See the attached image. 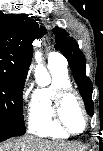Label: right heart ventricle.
<instances>
[{
	"label": "right heart ventricle",
	"mask_w": 103,
	"mask_h": 151,
	"mask_svg": "<svg viewBox=\"0 0 103 151\" xmlns=\"http://www.w3.org/2000/svg\"><path fill=\"white\" fill-rule=\"evenodd\" d=\"M52 81L48 86H40L32 91L27 124L29 133L52 139H66L69 134L60 129L52 118L53 97L57 89L71 87L66 68L50 65Z\"/></svg>",
	"instance_id": "e07e8e85"
}]
</instances>
